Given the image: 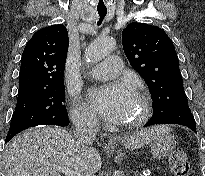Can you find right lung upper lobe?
<instances>
[{"label": "right lung upper lobe", "mask_w": 205, "mask_h": 176, "mask_svg": "<svg viewBox=\"0 0 205 176\" xmlns=\"http://www.w3.org/2000/svg\"><path fill=\"white\" fill-rule=\"evenodd\" d=\"M68 43L63 25L35 32L23 51L18 94L64 84Z\"/></svg>", "instance_id": "obj_1"}]
</instances>
